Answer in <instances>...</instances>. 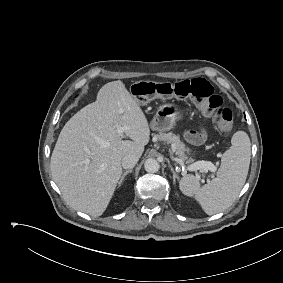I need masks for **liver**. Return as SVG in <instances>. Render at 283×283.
Segmentation results:
<instances>
[{
    "label": "liver",
    "mask_w": 283,
    "mask_h": 283,
    "mask_svg": "<svg viewBox=\"0 0 283 283\" xmlns=\"http://www.w3.org/2000/svg\"><path fill=\"white\" fill-rule=\"evenodd\" d=\"M149 139L147 118L123 82L105 84L97 100L65 124L53 150L52 176L65 201L91 216L102 215L122 175V158L140 157Z\"/></svg>",
    "instance_id": "liver-1"
}]
</instances>
